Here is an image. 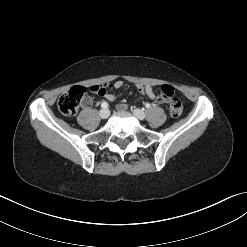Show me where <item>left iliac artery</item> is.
Segmentation results:
<instances>
[{"label": "left iliac artery", "instance_id": "obj_1", "mask_svg": "<svg viewBox=\"0 0 247 247\" xmlns=\"http://www.w3.org/2000/svg\"><path fill=\"white\" fill-rule=\"evenodd\" d=\"M150 106H151V105H150L149 103H146V104H145V107H146V108H150Z\"/></svg>", "mask_w": 247, "mask_h": 247}]
</instances>
